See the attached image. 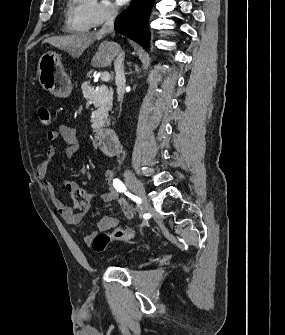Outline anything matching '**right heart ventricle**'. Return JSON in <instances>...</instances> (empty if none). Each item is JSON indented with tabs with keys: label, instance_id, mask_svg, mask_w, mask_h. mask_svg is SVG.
<instances>
[{
	"label": "right heart ventricle",
	"instance_id": "1",
	"mask_svg": "<svg viewBox=\"0 0 285 335\" xmlns=\"http://www.w3.org/2000/svg\"><path fill=\"white\" fill-rule=\"evenodd\" d=\"M79 26L82 28V29H88L90 27V23L88 22V20H84L82 22L79 23Z\"/></svg>",
	"mask_w": 285,
	"mask_h": 335
}]
</instances>
